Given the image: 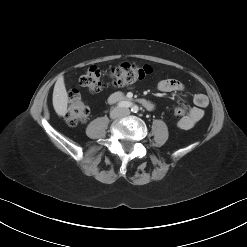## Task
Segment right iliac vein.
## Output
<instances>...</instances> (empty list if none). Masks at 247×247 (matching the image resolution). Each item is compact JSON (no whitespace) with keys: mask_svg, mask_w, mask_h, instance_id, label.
<instances>
[{"mask_svg":"<svg viewBox=\"0 0 247 247\" xmlns=\"http://www.w3.org/2000/svg\"><path fill=\"white\" fill-rule=\"evenodd\" d=\"M119 115H120L119 112L113 111V112H111L110 117H111L112 119H115V118L119 117Z\"/></svg>","mask_w":247,"mask_h":247,"instance_id":"right-iliac-vein-1","label":"right iliac vein"}]
</instances>
